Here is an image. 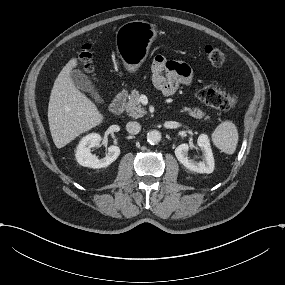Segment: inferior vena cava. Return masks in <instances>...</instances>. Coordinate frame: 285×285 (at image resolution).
<instances>
[{
  "label": "inferior vena cava",
  "instance_id": "inferior-vena-cava-1",
  "mask_svg": "<svg viewBox=\"0 0 285 285\" xmlns=\"http://www.w3.org/2000/svg\"><path fill=\"white\" fill-rule=\"evenodd\" d=\"M126 129L130 134H138L141 130V126L138 122L132 121L127 123Z\"/></svg>",
  "mask_w": 285,
  "mask_h": 285
}]
</instances>
